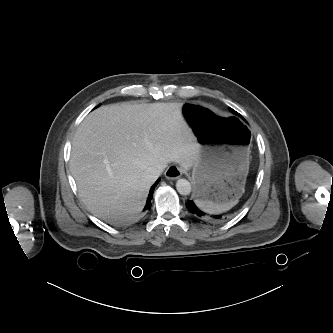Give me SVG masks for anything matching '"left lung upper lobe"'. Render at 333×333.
I'll use <instances>...</instances> for the list:
<instances>
[{
    "label": "left lung upper lobe",
    "instance_id": "1",
    "mask_svg": "<svg viewBox=\"0 0 333 333\" xmlns=\"http://www.w3.org/2000/svg\"><path fill=\"white\" fill-rule=\"evenodd\" d=\"M230 111L233 113V114H235V115H239V116H241L239 113H237L235 110H233V109H230ZM242 117V116H241Z\"/></svg>",
    "mask_w": 333,
    "mask_h": 333
}]
</instances>
